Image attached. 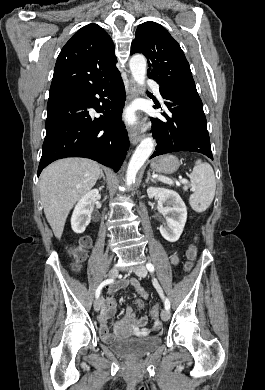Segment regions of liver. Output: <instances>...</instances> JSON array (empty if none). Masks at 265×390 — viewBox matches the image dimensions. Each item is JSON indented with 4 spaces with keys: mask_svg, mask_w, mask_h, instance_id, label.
<instances>
[{
    "mask_svg": "<svg viewBox=\"0 0 265 390\" xmlns=\"http://www.w3.org/2000/svg\"><path fill=\"white\" fill-rule=\"evenodd\" d=\"M100 165L86 158H66L53 162L40 176V196L44 213L54 235L60 239L74 204L96 184Z\"/></svg>",
    "mask_w": 265,
    "mask_h": 390,
    "instance_id": "6515ba94",
    "label": "liver"
}]
</instances>
